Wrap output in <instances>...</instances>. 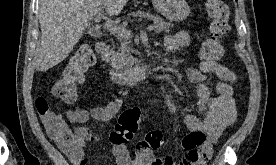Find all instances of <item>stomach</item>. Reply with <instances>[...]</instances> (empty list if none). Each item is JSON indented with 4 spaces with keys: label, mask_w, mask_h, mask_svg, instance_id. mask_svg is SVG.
Returning <instances> with one entry per match:
<instances>
[{
    "label": "stomach",
    "mask_w": 276,
    "mask_h": 165,
    "mask_svg": "<svg viewBox=\"0 0 276 165\" xmlns=\"http://www.w3.org/2000/svg\"><path fill=\"white\" fill-rule=\"evenodd\" d=\"M152 3L155 9L170 21H182L190 13L186 0H152Z\"/></svg>",
    "instance_id": "stomach-1"
}]
</instances>
